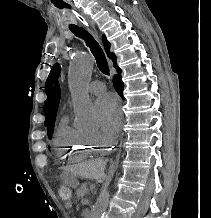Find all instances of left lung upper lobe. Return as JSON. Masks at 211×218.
<instances>
[{
  "mask_svg": "<svg viewBox=\"0 0 211 218\" xmlns=\"http://www.w3.org/2000/svg\"><path fill=\"white\" fill-rule=\"evenodd\" d=\"M60 73V65L56 63L51 72L50 75L46 81L45 85V91L47 94V100L44 103V114H45V124L47 123L49 117H50V108H51V93H52V84H53V79L56 78Z\"/></svg>",
  "mask_w": 211,
  "mask_h": 218,
  "instance_id": "1",
  "label": "left lung upper lobe"
}]
</instances>
